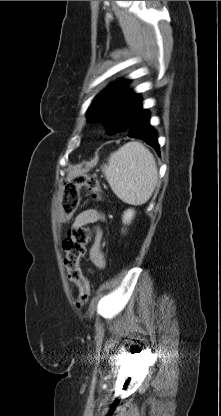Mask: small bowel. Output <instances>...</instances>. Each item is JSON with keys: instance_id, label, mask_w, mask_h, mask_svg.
Masks as SVG:
<instances>
[{"instance_id": "1", "label": "small bowel", "mask_w": 221, "mask_h": 416, "mask_svg": "<svg viewBox=\"0 0 221 416\" xmlns=\"http://www.w3.org/2000/svg\"><path fill=\"white\" fill-rule=\"evenodd\" d=\"M104 219V215L96 210H85L79 213L72 223V227L95 224ZM102 232L97 229L94 243L90 249V259L93 264L99 268L105 266L104 255L101 249Z\"/></svg>"}]
</instances>
